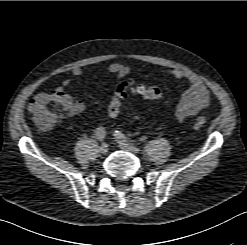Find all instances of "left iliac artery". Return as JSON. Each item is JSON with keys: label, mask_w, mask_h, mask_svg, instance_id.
Segmentation results:
<instances>
[{"label": "left iliac artery", "mask_w": 247, "mask_h": 245, "mask_svg": "<svg viewBox=\"0 0 247 245\" xmlns=\"http://www.w3.org/2000/svg\"><path fill=\"white\" fill-rule=\"evenodd\" d=\"M114 137L117 140L124 141V142H128V141L135 142L134 140H129L121 131H118V130L114 132Z\"/></svg>", "instance_id": "44dca946"}]
</instances>
